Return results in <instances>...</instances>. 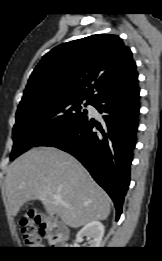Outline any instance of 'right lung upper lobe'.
Instances as JSON below:
<instances>
[{"instance_id": "cb5924a9", "label": "right lung upper lobe", "mask_w": 162, "mask_h": 261, "mask_svg": "<svg viewBox=\"0 0 162 261\" xmlns=\"http://www.w3.org/2000/svg\"><path fill=\"white\" fill-rule=\"evenodd\" d=\"M130 48L117 35L97 34L56 46L32 72L21 101L72 95L94 101L137 85Z\"/></svg>"}]
</instances>
